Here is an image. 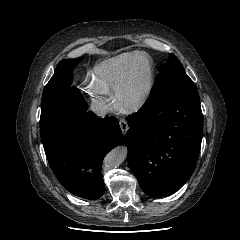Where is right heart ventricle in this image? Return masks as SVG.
Wrapping results in <instances>:
<instances>
[{
  "label": "right heart ventricle",
  "mask_w": 240,
  "mask_h": 240,
  "mask_svg": "<svg viewBox=\"0 0 240 240\" xmlns=\"http://www.w3.org/2000/svg\"><path fill=\"white\" fill-rule=\"evenodd\" d=\"M130 62L140 68L148 62V56L145 52L133 51L108 59L95 68V81L108 91L114 90L122 70Z\"/></svg>",
  "instance_id": "1"
}]
</instances>
